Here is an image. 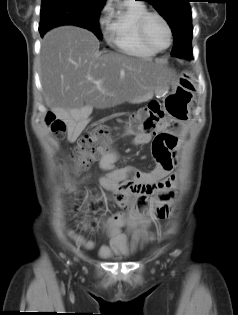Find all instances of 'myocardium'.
<instances>
[{
  "mask_svg": "<svg viewBox=\"0 0 238 315\" xmlns=\"http://www.w3.org/2000/svg\"><path fill=\"white\" fill-rule=\"evenodd\" d=\"M153 17H156L163 22V24L167 30V33H168V43L163 48H158V47L154 46L149 41V39L147 38L146 26H147V23L150 20V18H153ZM138 33H139V36H140V39L142 40V42L148 48L152 49L155 52H162V51L167 50L171 46L172 41H173V33H172V29H171L169 22L167 21V19L162 14H160L158 12H147L140 18L139 23H138Z\"/></svg>",
  "mask_w": 238,
  "mask_h": 315,
  "instance_id": "myocardium-1",
  "label": "myocardium"
}]
</instances>
